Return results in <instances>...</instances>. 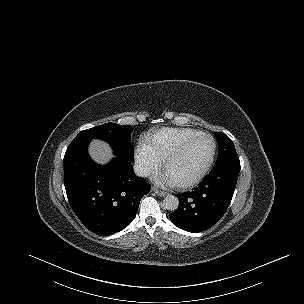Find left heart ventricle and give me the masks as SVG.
<instances>
[{
    "label": "left heart ventricle",
    "mask_w": 304,
    "mask_h": 304,
    "mask_svg": "<svg viewBox=\"0 0 304 304\" xmlns=\"http://www.w3.org/2000/svg\"><path fill=\"white\" fill-rule=\"evenodd\" d=\"M209 138H201L190 145L169 165L167 174L174 182L187 181L195 177L205 166L212 153Z\"/></svg>",
    "instance_id": "b2bd125f"
}]
</instances>
